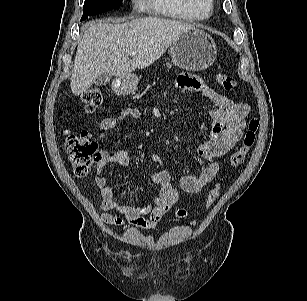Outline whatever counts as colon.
<instances>
[{
  "mask_svg": "<svg viewBox=\"0 0 307 301\" xmlns=\"http://www.w3.org/2000/svg\"><path fill=\"white\" fill-rule=\"evenodd\" d=\"M218 84L225 90H232L236 86V80L233 76L225 72H219L216 75ZM79 100L88 113L94 112L102 103L103 97L98 88H90L84 91ZM259 128V119L252 117L248 121L241 146L231 155L229 159V168H236L241 165L250 149L256 141V135ZM65 149L74 172L78 176L87 175L93 165L100 160L98 144L92 135L87 131L79 133H67L64 140ZM220 191V184H216L205 198V207L210 208L216 201ZM178 217H185L186 211L179 210Z\"/></svg>",
  "mask_w": 307,
  "mask_h": 301,
  "instance_id": "1",
  "label": "colon"
}]
</instances>
